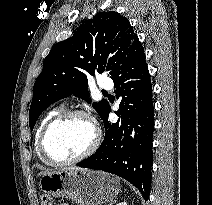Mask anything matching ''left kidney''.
Segmentation results:
<instances>
[{"label": "left kidney", "instance_id": "5707ae66", "mask_svg": "<svg viewBox=\"0 0 212 205\" xmlns=\"http://www.w3.org/2000/svg\"><path fill=\"white\" fill-rule=\"evenodd\" d=\"M117 205H127L126 202H121V203H118Z\"/></svg>", "mask_w": 212, "mask_h": 205}]
</instances>
